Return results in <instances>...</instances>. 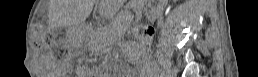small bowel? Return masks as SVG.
I'll list each match as a JSON object with an SVG mask.
<instances>
[{"label":"small bowel","instance_id":"c3829d8e","mask_svg":"<svg viewBox=\"0 0 258 77\" xmlns=\"http://www.w3.org/2000/svg\"><path fill=\"white\" fill-rule=\"evenodd\" d=\"M143 69L145 70V73H149L151 69V65L149 63H146L143 65Z\"/></svg>","mask_w":258,"mask_h":77}]
</instances>
